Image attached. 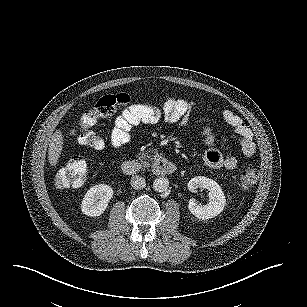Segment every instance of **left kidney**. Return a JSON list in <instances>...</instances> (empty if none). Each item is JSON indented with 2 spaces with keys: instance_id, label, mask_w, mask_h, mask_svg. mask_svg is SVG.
Instances as JSON below:
<instances>
[{
  "instance_id": "5707ae66",
  "label": "left kidney",
  "mask_w": 307,
  "mask_h": 307,
  "mask_svg": "<svg viewBox=\"0 0 307 307\" xmlns=\"http://www.w3.org/2000/svg\"><path fill=\"white\" fill-rule=\"evenodd\" d=\"M187 188L191 193H197L198 188L206 189L209 192L210 199L205 205L199 203L194 197L188 200V209L198 218H213L225 207L226 199L224 193L220 185L213 179L204 176H195L189 180Z\"/></svg>"
}]
</instances>
